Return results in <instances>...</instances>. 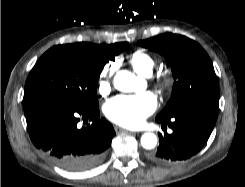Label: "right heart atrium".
Wrapping results in <instances>:
<instances>
[{
    "label": "right heart atrium",
    "instance_id": "d8ad5b80",
    "mask_svg": "<svg viewBox=\"0 0 245 187\" xmlns=\"http://www.w3.org/2000/svg\"><path fill=\"white\" fill-rule=\"evenodd\" d=\"M115 71V66L109 64L104 67L101 73V79L98 83V93L101 96L107 95L111 91V79Z\"/></svg>",
    "mask_w": 245,
    "mask_h": 187
}]
</instances>
